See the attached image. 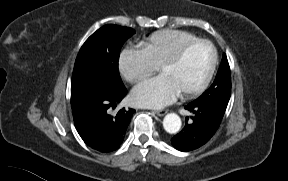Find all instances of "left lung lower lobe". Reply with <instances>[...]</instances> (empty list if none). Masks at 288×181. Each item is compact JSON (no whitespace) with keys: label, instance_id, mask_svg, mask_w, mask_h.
I'll list each match as a JSON object with an SVG mask.
<instances>
[{"label":"left lung lower lobe","instance_id":"left-lung-lower-lobe-1","mask_svg":"<svg viewBox=\"0 0 288 181\" xmlns=\"http://www.w3.org/2000/svg\"><path fill=\"white\" fill-rule=\"evenodd\" d=\"M185 109L194 114L188 124L172 139V145L180 151H191L207 143L220 126L225 111L210 105L191 102ZM188 119V118H187Z\"/></svg>","mask_w":288,"mask_h":181}]
</instances>
